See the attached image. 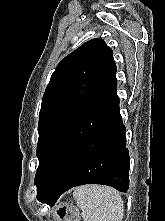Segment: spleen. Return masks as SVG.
Here are the masks:
<instances>
[{"label":"spleen","mask_w":165,"mask_h":221,"mask_svg":"<svg viewBox=\"0 0 165 221\" xmlns=\"http://www.w3.org/2000/svg\"><path fill=\"white\" fill-rule=\"evenodd\" d=\"M83 221H121L124 206L118 191L107 186L89 185L74 190Z\"/></svg>","instance_id":"3e777b00"}]
</instances>
